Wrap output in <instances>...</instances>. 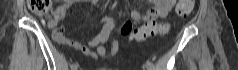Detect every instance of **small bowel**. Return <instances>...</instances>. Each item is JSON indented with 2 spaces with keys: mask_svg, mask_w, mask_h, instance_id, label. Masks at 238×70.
I'll list each match as a JSON object with an SVG mask.
<instances>
[{
  "mask_svg": "<svg viewBox=\"0 0 238 70\" xmlns=\"http://www.w3.org/2000/svg\"><path fill=\"white\" fill-rule=\"evenodd\" d=\"M74 2V0H64L63 4L58 7L56 11V16L53 20L49 22V26L51 28L56 27L59 20L64 19L68 16V9L71 6V4ZM92 4H95L97 0H90ZM154 8L151 9L148 13L142 15L138 11H132L131 12V18L132 21H127L123 27H122V34H129L132 30L133 24L138 23L140 21H145L146 19H156L157 18H163L166 17L172 10L173 7L177 6L176 3L177 0H151L150 1ZM163 27V26H162ZM114 28V22L113 19L109 16H105L102 18V29L100 33L93 39L89 40L86 45L82 44L77 41H73L70 38H68L62 28H56L53 31V37L54 39L64 45L72 46L75 49L81 51L85 55H89L92 57H109L114 55L118 51V43L117 41H112V49L108 53L106 50V44L109 40L110 34ZM89 47H97V52L90 51Z\"/></svg>",
  "mask_w": 238,
  "mask_h": 70,
  "instance_id": "obj_1",
  "label": "small bowel"
}]
</instances>
